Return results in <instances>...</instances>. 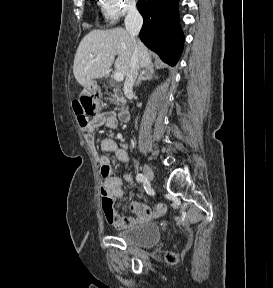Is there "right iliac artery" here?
<instances>
[{
    "label": "right iliac artery",
    "mask_w": 273,
    "mask_h": 288,
    "mask_svg": "<svg viewBox=\"0 0 273 288\" xmlns=\"http://www.w3.org/2000/svg\"><path fill=\"white\" fill-rule=\"evenodd\" d=\"M136 180H137L138 182H143V181H145V176H144L143 174L139 173V174L136 176Z\"/></svg>",
    "instance_id": "obj_1"
}]
</instances>
